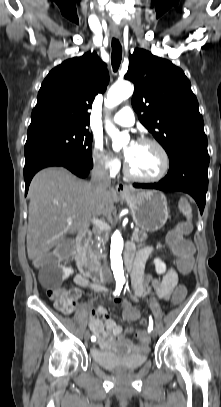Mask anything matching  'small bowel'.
I'll return each instance as SVG.
<instances>
[{
  "mask_svg": "<svg viewBox=\"0 0 221 407\" xmlns=\"http://www.w3.org/2000/svg\"><path fill=\"white\" fill-rule=\"evenodd\" d=\"M127 250L133 251L131 247H129ZM153 252L154 249L152 247H145L139 250L136 254L131 271V284L133 290L132 297L135 300L143 295H148L150 292V287H152L156 296L160 300L168 301L170 298V293L173 292V289L178 285V274L172 267L169 268L160 279L145 274L146 262ZM74 283L78 287H89L97 292L106 291L105 287L97 282L90 281L87 276L82 274H77L74 277ZM68 293L74 297L75 302L80 298L81 295L80 291L77 289L68 290ZM115 302L118 303L122 309L126 305H131L126 298H116ZM72 310L73 307L67 313H71ZM91 315L89 327L96 335L97 344L100 349H111L116 346V342L130 351L146 349L144 333L142 331H136V336L140 339L141 344L133 348L132 344L125 338L126 334L132 332L133 329H124L111 317L108 310L104 306H97L91 309ZM97 316H101L103 321H101Z\"/></svg>",
  "mask_w": 221,
  "mask_h": 407,
  "instance_id": "1",
  "label": "small bowel"
}]
</instances>
